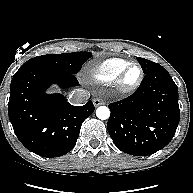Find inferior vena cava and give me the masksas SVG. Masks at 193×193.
<instances>
[{
  "instance_id": "obj_1",
  "label": "inferior vena cava",
  "mask_w": 193,
  "mask_h": 193,
  "mask_svg": "<svg viewBox=\"0 0 193 193\" xmlns=\"http://www.w3.org/2000/svg\"><path fill=\"white\" fill-rule=\"evenodd\" d=\"M90 98V93L84 89H75L69 96V102L73 105H81L86 103Z\"/></svg>"
}]
</instances>
